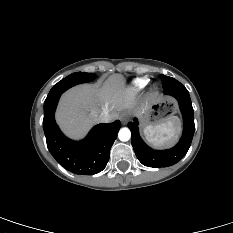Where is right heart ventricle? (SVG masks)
Instances as JSON below:
<instances>
[{
  "label": "right heart ventricle",
  "mask_w": 233,
  "mask_h": 233,
  "mask_svg": "<svg viewBox=\"0 0 233 233\" xmlns=\"http://www.w3.org/2000/svg\"><path fill=\"white\" fill-rule=\"evenodd\" d=\"M146 84H147V80H139L136 82L135 85L138 89H142L143 87L146 86Z\"/></svg>",
  "instance_id": "right-heart-ventricle-1"
}]
</instances>
